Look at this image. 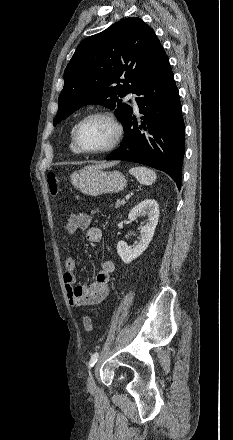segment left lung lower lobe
<instances>
[{"label":"left lung lower lobe","instance_id":"1","mask_svg":"<svg viewBox=\"0 0 233 440\" xmlns=\"http://www.w3.org/2000/svg\"><path fill=\"white\" fill-rule=\"evenodd\" d=\"M143 123L138 127L132 111L121 146L107 160L141 163L166 172L181 187L185 153V125L178 88L169 59L162 51L135 92Z\"/></svg>","mask_w":233,"mask_h":440}]
</instances>
